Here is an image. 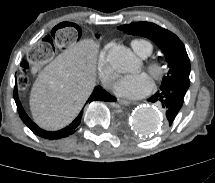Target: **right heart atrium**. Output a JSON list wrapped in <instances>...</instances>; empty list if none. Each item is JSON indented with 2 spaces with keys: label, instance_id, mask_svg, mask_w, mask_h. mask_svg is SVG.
I'll use <instances>...</instances> for the list:
<instances>
[{
  "label": "right heart atrium",
  "instance_id": "d8ad5b80",
  "mask_svg": "<svg viewBox=\"0 0 215 183\" xmlns=\"http://www.w3.org/2000/svg\"><path fill=\"white\" fill-rule=\"evenodd\" d=\"M107 50H108V46H106L99 55L98 72L103 84L107 88H111L113 86L116 74L111 68V66L109 65V62L107 59Z\"/></svg>",
  "mask_w": 215,
  "mask_h": 183
}]
</instances>
